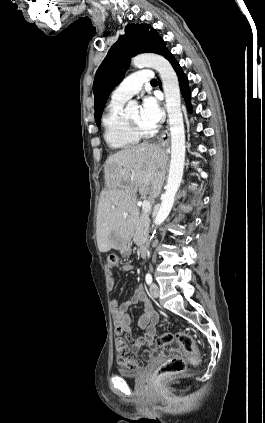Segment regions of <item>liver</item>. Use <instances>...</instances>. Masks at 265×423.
Masks as SVG:
<instances>
[{
	"mask_svg": "<svg viewBox=\"0 0 265 423\" xmlns=\"http://www.w3.org/2000/svg\"><path fill=\"white\" fill-rule=\"evenodd\" d=\"M167 157L155 144L142 143L122 149L105 163L107 191L98 207L97 245L100 252L119 249L127 240L130 223L138 214L136 192L152 199L159 196Z\"/></svg>",
	"mask_w": 265,
	"mask_h": 423,
	"instance_id": "obj_1",
	"label": "liver"
}]
</instances>
